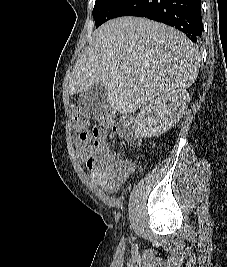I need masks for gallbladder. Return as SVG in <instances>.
<instances>
[{"instance_id": "1", "label": "gallbladder", "mask_w": 227, "mask_h": 267, "mask_svg": "<svg viewBox=\"0 0 227 267\" xmlns=\"http://www.w3.org/2000/svg\"><path fill=\"white\" fill-rule=\"evenodd\" d=\"M107 88L100 84L80 93L78 105L87 113L101 111L107 101Z\"/></svg>"}]
</instances>
